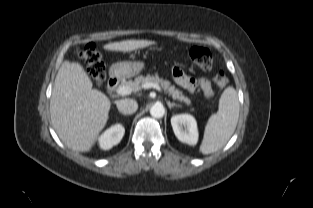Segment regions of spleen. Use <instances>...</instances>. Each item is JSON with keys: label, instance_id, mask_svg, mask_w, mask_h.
<instances>
[{"label": "spleen", "instance_id": "spleen-1", "mask_svg": "<svg viewBox=\"0 0 313 208\" xmlns=\"http://www.w3.org/2000/svg\"><path fill=\"white\" fill-rule=\"evenodd\" d=\"M238 118L237 92L233 87H227L219 99L217 113L212 114L208 119L199 151L207 155L222 148L233 135Z\"/></svg>", "mask_w": 313, "mask_h": 208}]
</instances>
